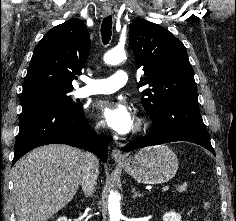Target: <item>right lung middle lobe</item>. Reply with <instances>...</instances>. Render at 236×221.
<instances>
[{"mask_svg": "<svg viewBox=\"0 0 236 221\" xmlns=\"http://www.w3.org/2000/svg\"><path fill=\"white\" fill-rule=\"evenodd\" d=\"M71 91L72 90L45 88L23 93L20 96L22 110L41 105L59 106L69 110H78L82 107V104L72 100L70 95Z\"/></svg>", "mask_w": 236, "mask_h": 221, "instance_id": "dd1d6c3e", "label": "right lung middle lobe"}]
</instances>
